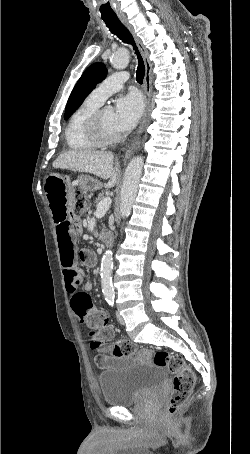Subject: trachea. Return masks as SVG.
I'll return each instance as SVG.
<instances>
[{"label":"trachea","mask_w":250,"mask_h":454,"mask_svg":"<svg viewBox=\"0 0 250 454\" xmlns=\"http://www.w3.org/2000/svg\"><path fill=\"white\" fill-rule=\"evenodd\" d=\"M103 21L105 22L106 26L109 28L111 33L116 35L119 39H121L124 43L131 44L138 59V67L136 71V80L138 83L142 84L144 75H145V65L143 58L138 50V47L134 41V38L129 31V29L119 20V18L114 16H102Z\"/></svg>","instance_id":"trachea-1"}]
</instances>
